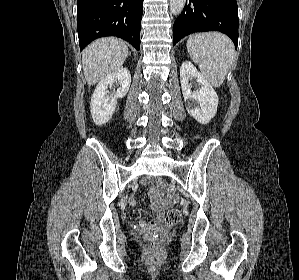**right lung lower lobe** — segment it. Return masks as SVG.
<instances>
[{
	"label": "right lung lower lobe",
	"mask_w": 299,
	"mask_h": 280,
	"mask_svg": "<svg viewBox=\"0 0 299 280\" xmlns=\"http://www.w3.org/2000/svg\"><path fill=\"white\" fill-rule=\"evenodd\" d=\"M80 50L104 36L122 38L140 49L143 0H78Z\"/></svg>",
	"instance_id": "obj_1"
}]
</instances>
